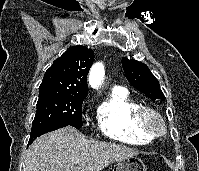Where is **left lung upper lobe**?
<instances>
[{
    "label": "left lung upper lobe",
    "instance_id": "obj_1",
    "mask_svg": "<svg viewBox=\"0 0 199 171\" xmlns=\"http://www.w3.org/2000/svg\"><path fill=\"white\" fill-rule=\"evenodd\" d=\"M122 67L127 80L134 88L151 99L165 100L159 81L151 73L147 65L134 59L123 58Z\"/></svg>",
    "mask_w": 199,
    "mask_h": 171
}]
</instances>
